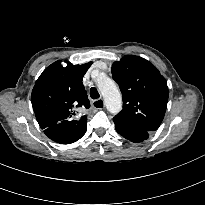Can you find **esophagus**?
<instances>
[{"instance_id": "obj_1", "label": "esophagus", "mask_w": 205, "mask_h": 205, "mask_svg": "<svg viewBox=\"0 0 205 205\" xmlns=\"http://www.w3.org/2000/svg\"><path fill=\"white\" fill-rule=\"evenodd\" d=\"M92 105L96 109H103L105 106V103H104V100L102 98H100V99L94 100L92 102Z\"/></svg>"}]
</instances>
